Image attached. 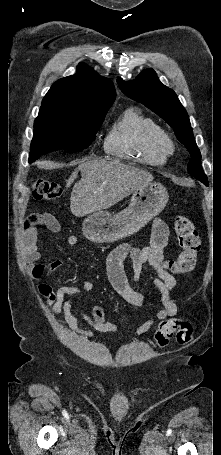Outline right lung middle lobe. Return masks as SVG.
I'll return each mask as SVG.
<instances>
[{
    "mask_svg": "<svg viewBox=\"0 0 221 455\" xmlns=\"http://www.w3.org/2000/svg\"><path fill=\"white\" fill-rule=\"evenodd\" d=\"M107 111L84 117L63 116L53 112L39 111L34 123V137L29 162L54 150L82 151L87 148L95 138Z\"/></svg>",
    "mask_w": 221,
    "mask_h": 455,
    "instance_id": "1",
    "label": "right lung middle lobe"
}]
</instances>
